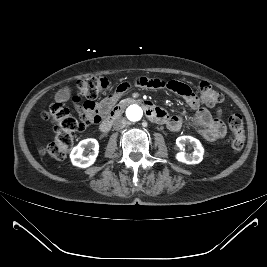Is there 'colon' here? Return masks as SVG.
<instances>
[{"label": "colon", "mask_w": 267, "mask_h": 267, "mask_svg": "<svg viewBox=\"0 0 267 267\" xmlns=\"http://www.w3.org/2000/svg\"><path fill=\"white\" fill-rule=\"evenodd\" d=\"M78 100L85 99L87 102L101 97L110 87V81L102 76H91L77 81ZM199 99L202 104L213 107L223 101L222 94L214 89L208 82H201L198 85ZM43 118L52 122L55 136L40 149L42 155L61 160L67 156L74 146L76 135L86 124L91 123L88 118L82 117L78 120L61 103H52L43 112ZM228 125L234 134L232 147L241 150L245 145L243 119L239 114L231 115Z\"/></svg>", "instance_id": "obj_1"}]
</instances>
